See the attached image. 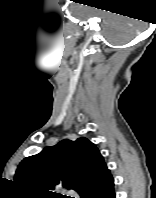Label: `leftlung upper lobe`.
Wrapping results in <instances>:
<instances>
[{"label": "left lung upper lobe", "instance_id": "5c2ea615", "mask_svg": "<svg viewBox=\"0 0 156 198\" xmlns=\"http://www.w3.org/2000/svg\"><path fill=\"white\" fill-rule=\"evenodd\" d=\"M108 171L100 151L87 138L62 140L26 157L19 164L15 182L29 198H63L64 187L78 194L94 185Z\"/></svg>", "mask_w": 156, "mask_h": 198}]
</instances>
